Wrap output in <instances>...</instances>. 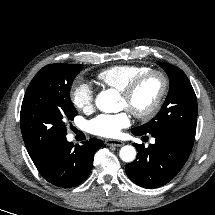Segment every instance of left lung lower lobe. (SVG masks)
Returning a JSON list of instances; mask_svg holds the SVG:
<instances>
[{
	"label": "left lung lower lobe",
	"mask_w": 215,
	"mask_h": 215,
	"mask_svg": "<svg viewBox=\"0 0 215 215\" xmlns=\"http://www.w3.org/2000/svg\"><path fill=\"white\" fill-rule=\"evenodd\" d=\"M134 135L151 134L155 144H134L138 151L136 159L125 166L127 176L144 188H157L172 180L187 161L194 138L174 130L152 133L132 131Z\"/></svg>",
	"instance_id": "1"
}]
</instances>
